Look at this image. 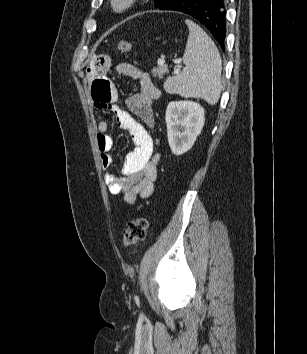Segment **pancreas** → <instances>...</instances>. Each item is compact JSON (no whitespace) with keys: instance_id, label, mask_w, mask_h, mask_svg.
Returning a JSON list of instances; mask_svg holds the SVG:
<instances>
[{"instance_id":"pancreas-1","label":"pancreas","mask_w":307,"mask_h":354,"mask_svg":"<svg viewBox=\"0 0 307 354\" xmlns=\"http://www.w3.org/2000/svg\"><path fill=\"white\" fill-rule=\"evenodd\" d=\"M169 73V70L166 65H158L157 67L153 68L152 74L154 77L161 79L165 74Z\"/></svg>"}]
</instances>
